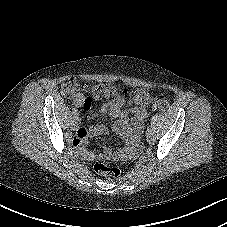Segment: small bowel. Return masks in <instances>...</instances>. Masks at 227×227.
Wrapping results in <instances>:
<instances>
[{
    "instance_id": "small-bowel-1",
    "label": "small bowel",
    "mask_w": 227,
    "mask_h": 227,
    "mask_svg": "<svg viewBox=\"0 0 227 227\" xmlns=\"http://www.w3.org/2000/svg\"><path fill=\"white\" fill-rule=\"evenodd\" d=\"M73 101L77 107H82L86 111L91 109V101L82 93L76 94ZM132 101L133 105L127 108L125 107V98L121 95H117L113 100H104L100 108L102 113L115 118L116 121L112 128L128 142V146L116 152L105 148L102 155H96L92 152L82 150V154L85 158L94 159L103 156L108 159H121L133 156L139 151V139L144 128L147 111L144 104L137 102L134 98ZM107 131V126L102 123L88 128H80L73 138V144L78 148H82L88 138L106 134Z\"/></svg>"
}]
</instances>
